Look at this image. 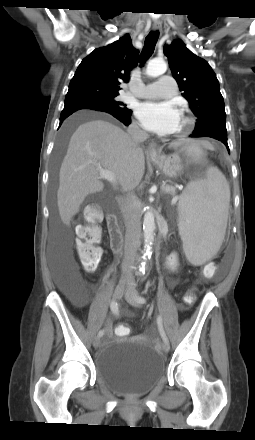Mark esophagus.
I'll list each match as a JSON object with an SVG mask.
<instances>
[{
	"label": "esophagus",
	"instance_id": "1",
	"mask_svg": "<svg viewBox=\"0 0 255 440\" xmlns=\"http://www.w3.org/2000/svg\"><path fill=\"white\" fill-rule=\"evenodd\" d=\"M161 27H162V25L160 22H154L152 28L154 31H158L161 29ZM147 151H148L149 155L152 157H156L159 155L158 148L154 142L149 143Z\"/></svg>",
	"mask_w": 255,
	"mask_h": 440
}]
</instances>
